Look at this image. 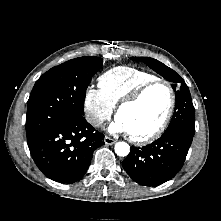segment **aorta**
Returning <instances> with one entry per match:
<instances>
[{
    "instance_id": "1",
    "label": "aorta",
    "mask_w": 221,
    "mask_h": 221,
    "mask_svg": "<svg viewBox=\"0 0 221 221\" xmlns=\"http://www.w3.org/2000/svg\"><path fill=\"white\" fill-rule=\"evenodd\" d=\"M114 149L115 153L121 157L127 156L130 152V146L126 142L116 143Z\"/></svg>"
}]
</instances>
